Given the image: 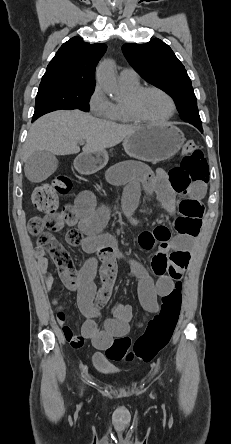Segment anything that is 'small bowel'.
I'll use <instances>...</instances> for the list:
<instances>
[{
	"label": "small bowel",
	"instance_id": "1",
	"mask_svg": "<svg viewBox=\"0 0 231 444\" xmlns=\"http://www.w3.org/2000/svg\"><path fill=\"white\" fill-rule=\"evenodd\" d=\"M105 179L112 185H125L123 208L133 224H138V220L133 217V211L142 189L160 202L170 214L175 212L176 195H183L186 199L202 205L200 201L205 194L203 182L180 187L174 184L163 170L152 172L145 165L135 162H121L111 166L105 172ZM67 209L72 214L70 225L78 226L77 229L68 232L67 242L71 246L81 247L92 255L77 277V302L84 317L80 333H75L68 324L64 312L65 305L55 295L53 275L48 269V258L41 250L36 253L37 265L65 340L74 348L81 347L85 340H89L95 348L106 350L115 338L128 334L130 323L134 318V309L131 306L117 304L113 308L112 317L107 318L102 327L97 322L102 307L108 301L113 289L117 260L124 258V255L119 250L116 240L111 235L101 232L110 215L109 207H97L94 196L84 191ZM191 240L192 237L180 234L171 239L170 235H158L155 231L140 233L138 243L142 249L151 250L156 244L159 245L151 262L155 280L140 263L129 260L133 273L139 279L140 304L147 312H158L160 309L158 298L171 293L175 283L182 278L190 261ZM98 263L101 264L99 272L102 280L99 289L94 284Z\"/></svg>",
	"mask_w": 231,
	"mask_h": 444
}]
</instances>
